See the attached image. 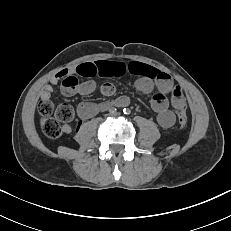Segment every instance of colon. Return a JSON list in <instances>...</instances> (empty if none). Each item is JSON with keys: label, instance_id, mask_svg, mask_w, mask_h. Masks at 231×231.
<instances>
[{"label": "colon", "instance_id": "1", "mask_svg": "<svg viewBox=\"0 0 231 231\" xmlns=\"http://www.w3.org/2000/svg\"><path fill=\"white\" fill-rule=\"evenodd\" d=\"M79 80L75 74L67 75L62 80V91L72 94L78 89ZM41 115L40 125L46 137L55 140L62 134V124L68 123L74 118V110L69 104L55 106L50 99H41L38 105ZM178 124L184 128L187 124L185 101L177 108Z\"/></svg>", "mask_w": 231, "mask_h": 231}]
</instances>
